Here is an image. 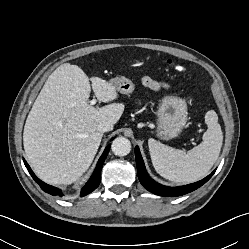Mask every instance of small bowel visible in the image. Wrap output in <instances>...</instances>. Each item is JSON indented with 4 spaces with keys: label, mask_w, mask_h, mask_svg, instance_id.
<instances>
[{
    "label": "small bowel",
    "mask_w": 249,
    "mask_h": 249,
    "mask_svg": "<svg viewBox=\"0 0 249 249\" xmlns=\"http://www.w3.org/2000/svg\"><path fill=\"white\" fill-rule=\"evenodd\" d=\"M142 83L144 86H146L147 88L151 89V90H160L161 88H167L168 85L164 82H159L149 76H144L142 78Z\"/></svg>",
    "instance_id": "obj_1"
}]
</instances>
